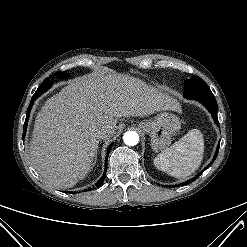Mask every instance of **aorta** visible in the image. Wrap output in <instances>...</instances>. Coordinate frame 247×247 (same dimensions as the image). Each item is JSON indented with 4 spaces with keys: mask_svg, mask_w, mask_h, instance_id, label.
I'll return each instance as SVG.
<instances>
[{
    "mask_svg": "<svg viewBox=\"0 0 247 247\" xmlns=\"http://www.w3.org/2000/svg\"><path fill=\"white\" fill-rule=\"evenodd\" d=\"M123 141L128 146H135L139 142V135L135 131H127L123 135Z\"/></svg>",
    "mask_w": 247,
    "mask_h": 247,
    "instance_id": "obj_1",
    "label": "aorta"
}]
</instances>
